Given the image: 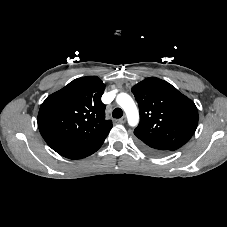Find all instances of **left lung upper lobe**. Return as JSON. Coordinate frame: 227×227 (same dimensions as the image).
<instances>
[{
    "mask_svg": "<svg viewBox=\"0 0 227 227\" xmlns=\"http://www.w3.org/2000/svg\"><path fill=\"white\" fill-rule=\"evenodd\" d=\"M140 122L134 130L139 142L165 152L175 151L194 134L198 110L194 102L168 82L149 77L132 87Z\"/></svg>",
    "mask_w": 227,
    "mask_h": 227,
    "instance_id": "obj_1",
    "label": "left lung upper lobe"
}]
</instances>
